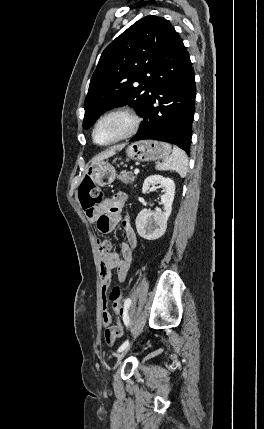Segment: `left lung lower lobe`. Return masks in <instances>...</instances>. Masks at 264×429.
I'll list each match as a JSON object with an SVG mask.
<instances>
[{
  "label": "left lung lower lobe",
  "mask_w": 264,
  "mask_h": 429,
  "mask_svg": "<svg viewBox=\"0 0 264 429\" xmlns=\"http://www.w3.org/2000/svg\"><path fill=\"white\" fill-rule=\"evenodd\" d=\"M144 121L130 141L154 139L173 143L190 153L195 107V78L189 54L173 28L152 79ZM158 102V106L154 104Z\"/></svg>",
  "instance_id": "0a47b994"
}]
</instances>
